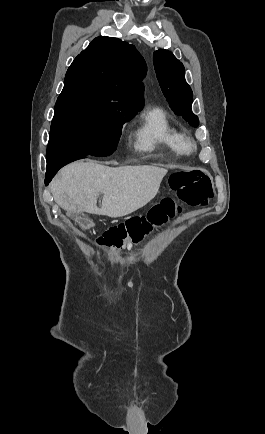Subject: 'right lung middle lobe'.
Returning a JSON list of instances; mask_svg holds the SVG:
<instances>
[{"label":"right lung middle lobe","instance_id":"dd1d6c3e","mask_svg":"<svg viewBox=\"0 0 265 434\" xmlns=\"http://www.w3.org/2000/svg\"><path fill=\"white\" fill-rule=\"evenodd\" d=\"M142 105L89 85L64 86L55 104L47 163L79 156H108L118 144L122 126Z\"/></svg>","mask_w":265,"mask_h":434}]
</instances>
